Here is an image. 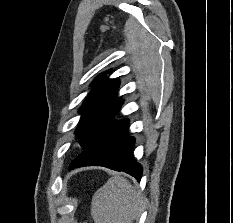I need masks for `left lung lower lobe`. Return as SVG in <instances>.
<instances>
[{
	"mask_svg": "<svg viewBox=\"0 0 233 223\" xmlns=\"http://www.w3.org/2000/svg\"><path fill=\"white\" fill-rule=\"evenodd\" d=\"M129 120L112 119L96 138L75 158L70 169L81 166H104L116 171H124L138 181L142 167L133 159L134 138L127 135Z\"/></svg>",
	"mask_w": 233,
	"mask_h": 223,
	"instance_id": "1",
	"label": "left lung lower lobe"
}]
</instances>
